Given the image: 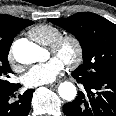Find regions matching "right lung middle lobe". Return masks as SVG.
I'll list each match as a JSON object with an SVG mask.
<instances>
[{
	"label": "right lung middle lobe",
	"mask_w": 116,
	"mask_h": 116,
	"mask_svg": "<svg viewBox=\"0 0 116 116\" xmlns=\"http://www.w3.org/2000/svg\"><path fill=\"white\" fill-rule=\"evenodd\" d=\"M33 24V21L28 20L27 24L24 27ZM12 37L0 38V93L8 91L14 84L8 81L9 74L12 73L9 62L7 59V54L9 52V48L13 42Z\"/></svg>",
	"instance_id": "right-lung-middle-lobe-1"
}]
</instances>
